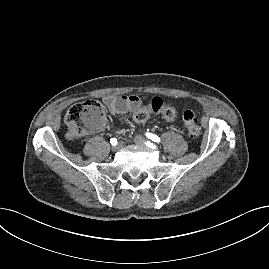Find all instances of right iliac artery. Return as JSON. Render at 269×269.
I'll use <instances>...</instances> for the list:
<instances>
[{
	"label": "right iliac artery",
	"mask_w": 269,
	"mask_h": 269,
	"mask_svg": "<svg viewBox=\"0 0 269 269\" xmlns=\"http://www.w3.org/2000/svg\"><path fill=\"white\" fill-rule=\"evenodd\" d=\"M110 143L114 146V145H116L117 144V140H116V138H111L110 139Z\"/></svg>",
	"instance_id": "82829eb1"
}]
</instances>
